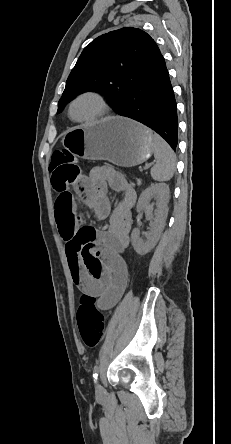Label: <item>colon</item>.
Segmentation results:
<instances>
[{
  "mask_svg": "<svg viewBox=\"0 0 231 444\" xmlns=\"http://www.w3.org/2000/svg\"><path fill=\"white\" fill-rule=\"evenodd\" d=\"M49 171L52 183L56 187L73 184L81 175L78 160L66 150H56L51 158ZM83 236H94L96 230L89 226H81ZM95 299L82 294L79 299L77 313L81 338L87 347L93 348L99 344L105 332V315L94 306Z\"/></svg>",
  "mask_w": 231,
  "mask_h": 444,
  "instance_id": "colon-1",
  "label": "colon"
}]
</instances>
